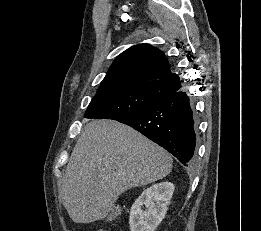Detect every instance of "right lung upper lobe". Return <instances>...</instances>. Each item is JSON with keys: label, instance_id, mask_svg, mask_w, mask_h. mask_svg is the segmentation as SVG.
Returning <instances> with one entry per match:
<instances>
[{"label": "right lung upper lobe", "instance_id": "cb5924a9", "mask_svg": "<svg viewBox=\"0 0 261 231\" xmlns=\"http://www.w3.org/2000/svg\"><path fill=\"white\" fill-rule=\"evenodd\" d=\"M125 87L141 88L160 99L180 90L182 85L179 76L170 71L162 51L149 44H138L115 59L98 91Z\"/></svg>", "mask_w": 261, "mask_h": 231}]
</instances>
